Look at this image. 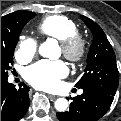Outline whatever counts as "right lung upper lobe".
<instances>
[{"instance_id":"obj_1","label":"right lung upper lobe","mask_w":121,"mask_h":121,"mask_svg":"<svg viewBox=\"0 0 121 121\" xmlns=\"http://www.w3.org/2000/svg\"><path fill=\"white\" fill-rule=\"evenodd\" d=\"M30 11H16L1 17V27L9 25L12 21L20 19Z\"/></svg>"}]
</instances>
